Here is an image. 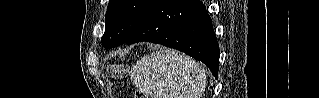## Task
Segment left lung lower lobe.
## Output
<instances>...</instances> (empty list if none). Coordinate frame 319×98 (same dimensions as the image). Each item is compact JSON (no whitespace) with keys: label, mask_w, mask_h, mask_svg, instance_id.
Here are the masks:
<instances>
[{"label":"left lung lower lobe","mask_w":319,"mask_h":98,"mask_svg":"<svg viewBox=\"0 0 319 98\" xmlns=\"http://www.w3.org/2000/svg\"><path fill=\"white\" fill-rule=\"evenodd\" d=\"M141 41L180 50L205 63L218 77L219 47L212 21L199 0H157L125 43Z\"/></svg>","instance_id":"1"}]
</instances>
